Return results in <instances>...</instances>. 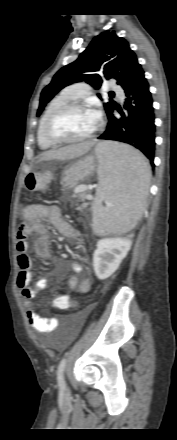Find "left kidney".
<instances>
[{
    "label": "left kidney",
    "instance_id": "obj_1",
    "mask_svg": "<svg viewBox=\"0 0 177 440\" xmlns=\"http://www.w3.org/2000/svg\"><path fill=\"white\" fill-rule=\"evenodd\" d=\"M131 240L114 237L104 238L97 242L93 254V267L98 279L104 280L111 276L127 256Z\"/></svg>",
    "mask_w": 177,
    "mask_h": 440
}]
</instances>
